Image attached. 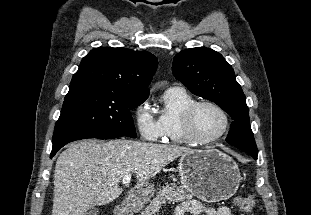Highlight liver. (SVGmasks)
<instances>
[{"label": "liver", "mask_w": 311, "mask_h": 215, "mask_svg": "<svg viewBox=\"0 0 311 215\" xmlns=\"http://www.w3.org/2000/svg\"><path fill=\"white\" fill-rule=\"evenodd\" d=\"M191 151L178 145L126 139L72 143L56 161L52 215H84L91 207L112 202L122 193L121 179L134 173L136 185L128 193L129 202L135 189Z\"/></svg>", "instance_id": "obj_1"}]
</instances>
